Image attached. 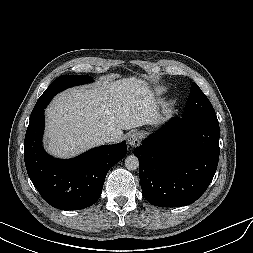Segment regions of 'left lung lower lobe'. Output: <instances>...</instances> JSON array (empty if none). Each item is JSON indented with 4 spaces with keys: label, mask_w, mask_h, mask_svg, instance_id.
<instances>
[{
    "label": "left lung lower lobe",
    "mask_w": 253,
    "mask_h": 253,
    "mask_svg": "<svg viewBox=\"0 0 253 253\" xmlns=\"http://www.w3.org/2000/svg\"><path fill=\"white\" fill-rule=\"evenodd\" d=\"M216 115L174 117L134 150L140 183L149 203L180 207L196 201L207 189L219 160Z\"/></svg>",
    "instance_id": "0a47b994"
}]
</instances>
